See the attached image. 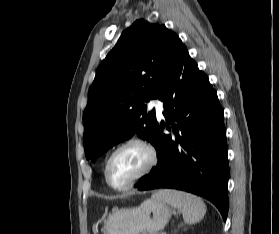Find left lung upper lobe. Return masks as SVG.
Segmentation results:
<instances>
[{"mask_svg":"<svg viewBox=\"0 0 279 234\" xmlns=\"http://www.w3.org/2000/svg\"><path fill=\"white\" fill-rule=\"evenodd\" d=\"M176 33L139 19L120 36L97 69L83 113L86 158L95 161L134 133L155 145V110L144 102L158 97L180 49Z\"/></svg>","mask_w":279,"mask_h":234,"instance_id":"5c2ea615","label":"left lung upper lobe"}]
</instances>
